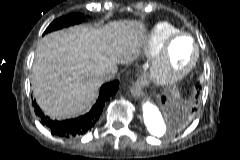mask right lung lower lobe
I'll return each instance as SVG.
<instances>
[{"label":"right lung lower lobe","mask_w":240,"mask_h":160,"mask_svg":"<svg viewBox=\"0 0 240 160\" xmlns=\"http://www.w3.org/2000/svg\"><path fill=\"white\" fill-rule=\"evenodd\" d=\"M119 87V81H113L104 84L100 89V95L92 109L85 114L75 119L57 121L44 115L42 110L36 104L35 100L32 104L35 106V113L39 117L41 123L46 126L53 134L60 137H76L83 135L90 130L98 121L105 102L116 94Z\"/></svg>","instance_id":"98d812e1"}]
</instances>
